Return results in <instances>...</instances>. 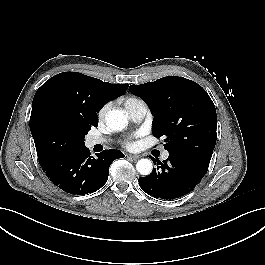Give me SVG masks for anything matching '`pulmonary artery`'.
<instances>
[{"label": "pulmonary artery", "instance_id": "1", "mask_svg": "<svg viewBox=\"0 0 265 265\" xmlns=\"http://www.w3.org/2000/svg\"><path fill=\"white\" fill-rule=\"evenodd\" d=\"M128 112H129V116L132 119V121L140 122L145 117V115L147 113V106L144 102L138 103V104L132 106L131 108H129ZM106 142H108V140L105 138H102V137H90L87 140V145L89 147H92L94 145L103 144ZM168 156H169V153L167 151H164L162 153L161 158L163 160H165L168 158Z\"/></svg>", "mask_w": 265, "mask_h": 265}]
</instances>
